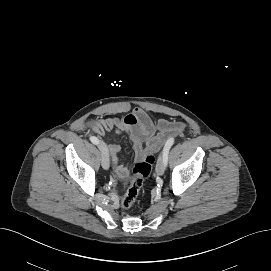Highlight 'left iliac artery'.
<instances>
[{"label": "left iliac artery", "instance_id": "left-iliac-artery-1", "mask_svg": "<svg viewBox=\"0 0 271 271\" xmlns=\"http://www.w3.org/2000/svg\"><path fill=\"white\" fill-rule=\"evenodd\" d=\"M174 141H175L174 138H170V139L167 140V142H166V144L164 146L163 157H164L165 164H167L168 153H169V150H170L171 146L174 144Z\"/></svg>", "mask_w": 271, "mask_h": 271}]
</instances>
